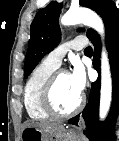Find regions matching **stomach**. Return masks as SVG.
<instances>
[{
	"instance_id": "obj_1",
	"label": "stomach",
	"mask_w": 119,
	"mask_h": 141,
	"mask_svg": "<svg viewBox=\"0 0 119 141\" xmlns=\"http://www.w3.org/2000/svg\"><path fill=\"white\" fill-rule=\"evenodd\" d=\"M21 141H81V137L65 129L47 130L29 126L22 130Z\"/></svg>"
}]
</instances>
